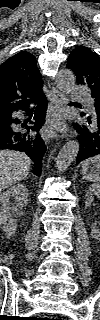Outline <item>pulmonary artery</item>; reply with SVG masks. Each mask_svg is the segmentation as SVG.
Instances as JSON below:
<instances>
[{
    "label": "pulmonary artery",
    "instance_id": "1",
    "mask_svg": "<svg viewBox=\"0 0 100 320\" xmlns=\"http://www.w3.org/2000/svg\"><path fill=\"white\" fill-rule=\"evenodd\" d=\"M72 97L77 100H85L88 102V105L91 109L94 108L90 93L85 88L75 86L73 89Z\"/></svg>",
    "mask_w": 100,
    "mask_h": 320
}]
</instances>
